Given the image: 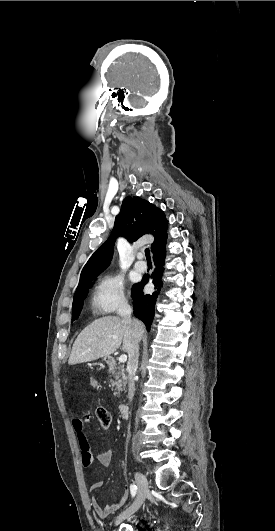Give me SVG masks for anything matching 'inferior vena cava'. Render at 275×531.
<instances>
[{"label":"inferior vena cava","instance_id":"602c4592","mask_svg":"<svg viewBox=\"0 0 275 531\" xmlns=\"http://www.w3.org/2000/svg\"><path fill=\"white\" fill-rule=\"evenodd\" d=\"M131 313L132 309L130 305H122L120 309V315L123 317L124 321L126 323H129L131 327H133L132 319H131ZM136 331H133L134 335V341H132V345L128 351L129 359L127 363V371H128V379H129V385H128V399L129 401H132L134 397V391H135V375L136 371L138 369V359H139V341H137V337L135 335Z\"/></svg>","mask_w":275,"mask_h":531}]
</instances>
